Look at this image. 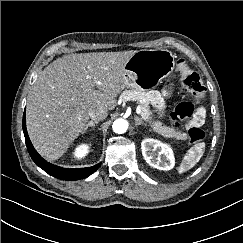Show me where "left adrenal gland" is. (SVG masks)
I'll return each instance as SVG.
<instances>
[{
  "label": "left adrenal gland",
  "instance_id": "a2214340",
  "mask_svg": "<svg viewBox=\"0 0 243 243\" xmlns=\"http://www.w3.org/2000/svg\"><path fill=\"white\" fill-rule=\"evenodd\" d=\"M134 120H135V125H144L146 126V124L144 122H142L141 118H139L138 116H135L134 117Z\"/></svg>",
  "mask_w": 243,
  "mask_h": 243
}]
</instances>
